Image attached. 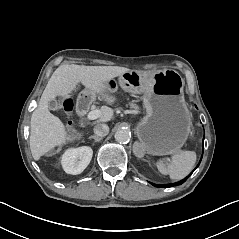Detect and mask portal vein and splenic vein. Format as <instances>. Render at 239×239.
Returning <instances> with one entry per match:
<instances>
[{"label":"portal vein and splenic vein","instance_id":"1","mask_svg":"<svg viewBox=\"0 0 239 239\" xmlns=\"http://www.w3.org/2000/svg\"><path fill=\"white\" fill-rule=\"evenodd\" d=\"M100 116H101V111L100 110L90 111L87 115L89 120H95V119L99 118ZM165 160H167V162H170L169 157H165Z\"/></svg>","mask_w":239,"mask_h":239}]
</instances>
